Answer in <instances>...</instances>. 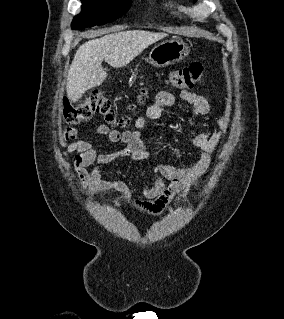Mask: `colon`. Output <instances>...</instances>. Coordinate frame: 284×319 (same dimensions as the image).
I'll return each mask as SVG.
<instances>
[{
    "mask_svg": "<svg viewBox=\"0 0 284 319\" xmlns=\"http://www.w3.org/2000/svg\"><path fill=\"white\" fill-rule=\"evenodd\" d=\"M203 65L194 62L189 66L171 71L168 75V82L178 89H192L202 81ZM146 92L139 96L143 101ZM94 115H101L106 122L117 127H127L130 124L129 117H119L111 101L99 91L91 93L82 103L77 106L67 107L63 111V121L69 126L77 125L86 121Z\"/></svg>",
    "mask_w": 284,
    "mask_h": 319,
    "instance_id": "obj_1",
    "label": "colon"
}]
</instances>
